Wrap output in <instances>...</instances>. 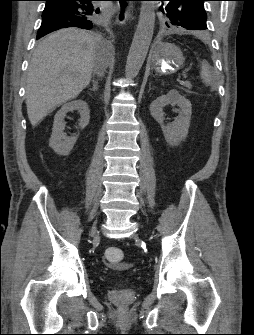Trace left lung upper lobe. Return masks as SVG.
<instances>
[{
    "label": "left lung upper lobe",
    "instance_id": "left-lung-upper-lobe-1",
    "mask_svg": "<svg viewBox=\"0 0 254 335\" xmlns=\"http://www.w3.org/2000/svg\"><path fill=\"white\" fill-rule=\"evenodd\" d=\"M165 1V0H162ZM167 6H161L166 15V25L179 26L189 30H205L207 15L203 7L206 0H167Z\"/></svg>",
    "mask_w": 254,
    "mask_h": 335
}]
</instances>
